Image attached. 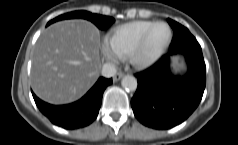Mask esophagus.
<instances>
[{
	"label": "esophagus",
	"mask_w": 238,
	"mask_h": 145,
	"mask_svg": "<svg viewBox=\"0 0 238 145\" xmlns=\"http://www.w3.org/2000/svg\"><path fill=\"white\" fill-rule=\"evenodd\" d=\"M123 75H124V73L118 72L117 74H115V75L113 76V81H114V82L118 81L119 79H121V78L123 77Z\"/></svg>",
	"instance_id": "34e87169"
}]
</instances>
